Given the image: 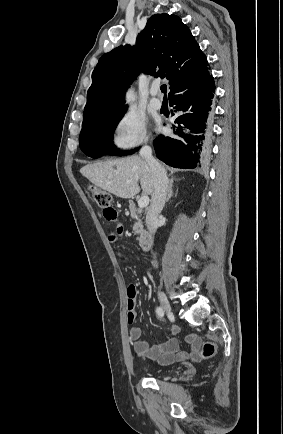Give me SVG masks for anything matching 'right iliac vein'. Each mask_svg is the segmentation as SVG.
I'll use <instances>...</instances> for the list:
<instances>
[{
  "instance_id": "1",
  "label": "right iliac vein",
  "mask_w": 283,
  "mask_h": 434,
  "mask_svg": "<svg viewBox=\"0 0 283 434\" xmlns=\"http://www.w3.org/2000/svg\"><path fill=\"white\" fill-rule=\"evenodd\" d=\"M158 298L161 304L162 309L167 313V314H173L171 305L169 303V301L167 300L166 296L164 295L163 292L158 291Z\"/></svg>"
}]
</instances>
